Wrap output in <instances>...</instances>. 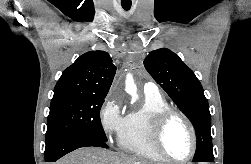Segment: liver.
<instances>
[{
  "label": "liver",
  "instance_id": "obj_1",
  "mask_svg": "<svg viewBox=\"0 0 251 164\" xmlns=\"http://www.w3.org/2000/svg\"><path fill=\"white\" fill-rule=\"evenodd\" d=\"M55 164H154L133 156L97 147L80 148Z\"/></svg>",
  "mask_w": 251,
  "mask_h": 164
}]
</instances>
